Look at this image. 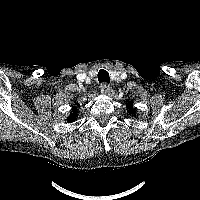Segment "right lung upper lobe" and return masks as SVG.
I'll return each mask as SVG.
<instances>
[{
    "instance_id": "1",
    "label": "right lung upper lobe",
    "mask_w": 200,
    "mask_h": 200,
    "mask_svg": "<svg viewBox=\"0 0 200 200\" xmlns=\"http://www.w3.org/2000/svg\"><path fill=\"white\" fill-rule=\"evenodd\" d=\"M77 116V109L73 110V113L70 115V117L68 118L69 122H74Z\"/></svg>"
}]
</instances>
